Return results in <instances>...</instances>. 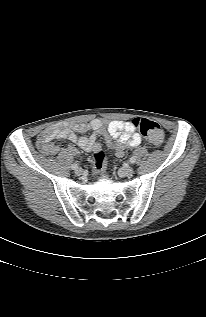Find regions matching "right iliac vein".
<instances>
[{"label":"right iliac vein","mask_w":206,"mask_h":317,"mask_svg":"<svg viewBox=\"0 0 206 317\" xmlns=\"http://www.w3.org/2000/svg\"><path fill=\"white\" fill-rule=\"evenodd\" d=\"M82 173H83V171H82L81 168H77V169L75 170V174H76L77 176L82 175Z\"/></svg>","instance_id":"63e3f726"}]
</instances>
